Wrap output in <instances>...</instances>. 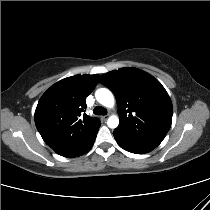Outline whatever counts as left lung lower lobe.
Returning a JSON list of instances; mask_svg holds the SVG:
<instances>
[{"label": "left lung lower lobe", "mask_w": 210, "mask_h": 210, "mask_svg": "<svg viewBox=\"0 0 210 210\" xmlns=\"http://www.w3.org/2000/svg\"><path fill=\"white\" fill-rule=\"evenodd\" d=\"M115 139H116V141H117V143L119 144L120 147H122L123 149H125L129 152L136 153V154L147 153V152H150L151 150H153L155 148V147H152V146L127 142V141H125L123 139H119L117 137H115Z\"/></svg>", "instance_id": "left-lung-lower-lobe-1"}]
</instances>
